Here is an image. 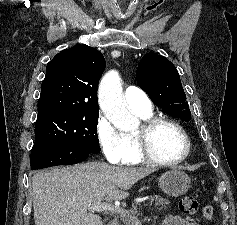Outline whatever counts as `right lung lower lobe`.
Masks as SVG:
<instances>
[{"mask_svg":"<svg viewBox=\"0 0 237 225\" xmlns=\"http://www.w3.org/2000/svg\"><path fill=\"white\" fill-rule=\"evenodd\" d=\"M89 157V152L49 141H35L31 150V169L79 163Z\"/></svg>","mask_w":237,"mask_h":225,"instance_id":"98d812e1","label":"right lung lower lobe"}]
</instances>
